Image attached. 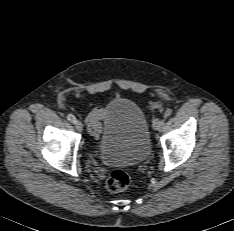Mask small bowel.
I'll list each match as a JSON object with an SVG mask.
<instances>
[{"label": "small bowel", "mask_w": 234, "mask_h": 231, "mask_svg": "<svg viewBox=\"0 0 234 231\" xmlns=\"http://www.w3.org/2000/svg\"><path fill=\"white\" fill-rule=\"evenodd\" d=\"M115 100V98L111 99V103ZM107 110L102 107L95 108L92 112L87 116L86 123L89 132L94 137L98 138L101 133V121L106 119Z\"/></svg>", "instance_id": "1"}]
</instances>
